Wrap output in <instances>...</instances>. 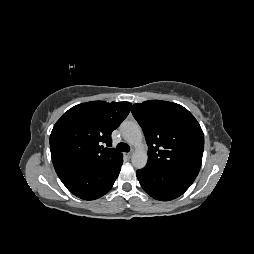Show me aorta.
Here are the masks:
<instances>
[{
	"instance_id": "aorta-1",
	"label": "aorta",
	"mask_w": 254,
	"mask_h": 254,
	"mask_svg": "<svg viewBox=\"0 0 254 254\" xmlns=\"http://www.w3.org/2000/svg\"><path fill=\"white\" fill-rule=\"evenodd\" d=\"M120 129L124 140L135 147L131 158L133 166L136 169L144 168L148 157L143 147V135L139 124L136 121H124Z\"/></svg>"
}]
</instances>
